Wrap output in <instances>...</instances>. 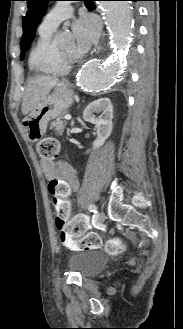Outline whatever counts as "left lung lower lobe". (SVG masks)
<instances>
[{
  "mask_svg": "<svg viewBox=\"0 0 183 329\" xmlns=\"http://www.w3.org/2000/svg\"><path fill=\"white\" fill-rule=\"evenodd\" d=\"M131 1H139V0H131Z\"/></svg>",
  "mask_w": 183,
  "mask_h": 329,
  "instance_id": "1",
  "label": "left lung lower lobe"
}]
</instances>
